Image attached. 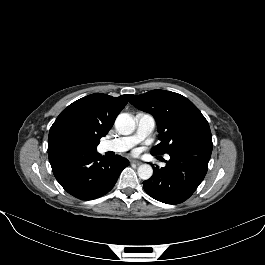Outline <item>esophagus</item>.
I'll return each instance as SVG.
<instances>
[{"label":"esophagus","mask_w":265,"mask_h":265,"mask_svg":"<svg viewBox=\"0 0 265 265\" xmlns=\"http://www.w3.org/2000/svg\"><path fill=\"white\" fill-rule=\"evenodd\" d=\"M132 164H135V165H141L142 162L141 161H138V160H131L130 161Z\"/></svg>","instance_id":"esophagus-1"}]
</instances>
